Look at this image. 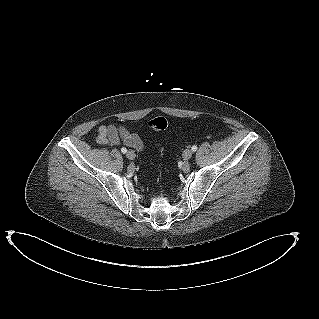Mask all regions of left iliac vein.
I'll use <instances>...</instances> for the list:
<instances>
[{"instance_id":"obj_1","label":"left iliac vein","mask_w":319,"mask_h":319,"mask_svg":"<svg viewBox=\"0 0 319 319\" xmlns=\"http://www.w3.org/2000/svg\"><path fill=\"white\" fill-rule=\"evenodd\" d=\"M193 155V152L192 150L190 149H186L184 152H183V159L184 160H189Z\"/></svg>"}]
</instances>
